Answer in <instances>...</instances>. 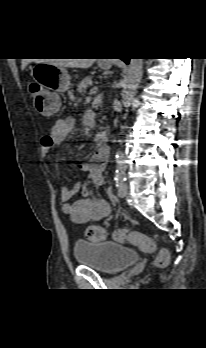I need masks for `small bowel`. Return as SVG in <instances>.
<instances>
[{
  "mask_svg": "<svg viewBox=\"0 0 206 348\" xmlns=\"http://www.w3.org/2000/svg\"><path fill=\"white\" fill-rule=\"evenodd\" d=\"M74 126L75 120L73 117L58 120L42 138V155L47 166V157L49 153L67 138L73 131ZM107 154V148L100 147L95 152L92 161L84 162L80 166L81 170L85 173L86 181L75 185L73 188L62 187L60 189L62 212L74 223L84 224L100 220L107 217L111 212V206L107 200L89 197L90 189L88 187V182L95 185H101L103 183V171L105 168L103 162ZM76 195H80V198L70 204L69 200Z\"/></svg>",
  "mask_w": 206,
  "mask_h": 348,
  "instance_id": "obj_1",
  "label": "small bowel"
}]
</instances>
